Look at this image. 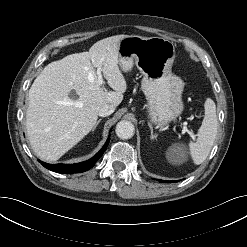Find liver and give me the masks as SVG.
I'll return each mask as SVG.
<instances>
[{
    "label": "liver",
    "instance_id": "1",
    "mask_svg": "<svg viewBox=\"0 0 247 247\" xmlns=\"http://www.w3.org/2000/svg\"><path fill=\"white\" fill-rule=\"evenodd\" d=\"M125 37L104 38L88 52L51 62L34 80L29 90L26 129L39 158L58 160L93 129L102 105L116 108L122 102L127 84L119 68L118 45ZM95 67L101 69L114 91L107 92L98 84ZM72 91L77 98L69 96Z\"/></svg>",
    "mask_w": 247,
    "mask_h": 247
}]
</instances>
